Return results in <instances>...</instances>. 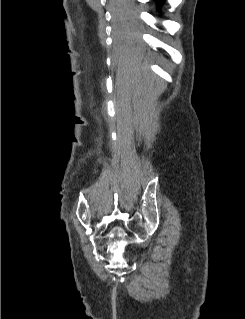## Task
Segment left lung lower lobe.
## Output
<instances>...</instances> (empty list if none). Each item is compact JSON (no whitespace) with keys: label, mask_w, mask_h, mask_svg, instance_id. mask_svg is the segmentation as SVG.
I'll use <instances>...</instances> for the list:
<instances>
[{"label":"left lung lower lobe","mask_w":245,"mask_h":319,"mask_svg":"<svg viewBox=\"0 0 245 319\" xmlns=\"http://www.w3.org/2000/svg\"><path fill=\"white\" fill-rule=\"evenodd\" d=\"M156 1V3H157V6H158V8L162 5V2L164 1V0H155Z\"/></svg>","instance_id":"left-lung-lower-lobe-1"}]
</instances>
